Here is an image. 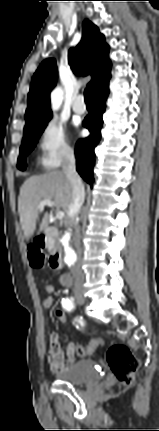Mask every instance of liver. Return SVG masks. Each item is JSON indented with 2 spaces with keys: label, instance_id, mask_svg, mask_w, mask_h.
<instances>
[{
  "label": "liver",
  "instance_id": "1",
  "mask_svg": "<svg viewBox=\"0 0 159 431\" xmlns=\"http://www.w3.org/2000/svg\"><path fill=\"white\" fill-rule=\"evenodd\" d=\"M44 199L52 200L56 208H62L64 212H68L72 201V185L64 171H51L43 175L31 176L22 185L18 198V212L26 240H29L36 230L40 212L37 207ZM48 225L49 215L45 213L40 230L46 229Z\"/></svg>",
  "mask_w": 159,
  "mask_h": 431
}]
</instances>
